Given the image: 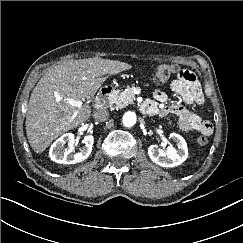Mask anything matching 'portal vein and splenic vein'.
Wrapping results in <instances>:
<instances>
[{"mask_svg": "<svg viewBox=\"0 0 243 243\" xmlns=\"http://www.w3.org/2000/svg\"><path fill=\"white\" fill-rule=\"evenodd\" d=\"M69 104L80 108L82 106L83 102L81 100H70Z\"/></svg>", "mask_w": 243, "mask_h": 243, "instance_id": "1", "label": "portal vein and splenic vein"}]
</instances>
